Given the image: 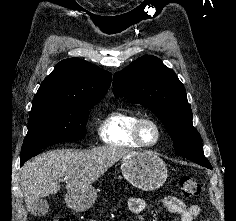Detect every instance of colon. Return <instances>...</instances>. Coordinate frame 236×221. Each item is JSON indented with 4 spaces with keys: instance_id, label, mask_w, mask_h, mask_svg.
<instances>
[{
    "instance_id": "colon-1",
    "label": "colon",
    "mask_w": 236,
    "mask_h": 221,
    "mask_svg": "<svg viewBox=\"0 0 236 221\" xmlns=\"http://www.w3.org/2000/svg\"><path fill=\"white\" fill-rule=\"evenodd\" d=\"M181 194L184 197L190 198L199 194L200 188L198 183L190 176H182L180 178ZM52 221H64L63 219H53Z\"/></svg>"
}]
</instances>
